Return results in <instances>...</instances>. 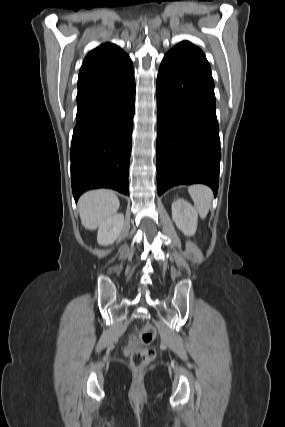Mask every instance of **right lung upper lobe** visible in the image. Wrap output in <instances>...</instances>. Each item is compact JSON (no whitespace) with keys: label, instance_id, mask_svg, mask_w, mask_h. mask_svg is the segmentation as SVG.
<instances>
[{"label":"right lung upper lobe","instance_id":"1","mask_svg":"<svg viewBox=\"0 0 285 427\" xmlns=\"http://www.w3.org/2000/svg\"><path fill=\"white\" fill-rule=\"evenodd\" d=\"M132 61L118 46L105 43L90 51L78 78V94L115 80L132 70Z\"/></svg>","mask_w":285,"mask_h":427}]
</instances>
